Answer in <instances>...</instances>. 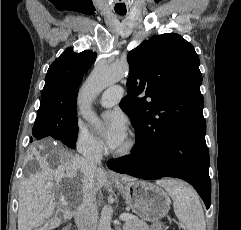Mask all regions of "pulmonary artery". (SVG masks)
Returning <instances> with one entry per match:
<instances>
[{
	"mask_svg": "<svg viewBox=\"0 0 241 230\" xmlns=\"http://www.w3.org/2000/svg\"><path fill=\"white\" fill-rule=\"evenodd\" d=\"M124 95V89L121 86L110 87L105 90L99 100L103 107H112Z\"/></svg>",
	"mask_w": 241,
	"mask_h": 230,
	"instance_id": "e3ab8cb5",
	"label": "pulmonary artery"
}]
</instances>
